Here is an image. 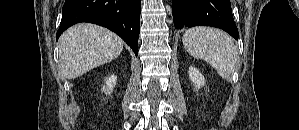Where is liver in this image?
I'll return each mask as SVG.
<instances>
[{"label": "liver", "instance_id": "obj_1", "mask_svg": "<svg viewBox=\"0 0 299 130\" xmlns=\"http://www.w3.org/2000/svg\"><path fill=\"white\" fill-rule=\"evenodd\" d=\"M124 42L110 30L82 23L66 30L59 39V66L62 75L74 79L112 61L123 50Z\"/></svg>", "mask_w": 299, "mask_h": 130}]
</instances>
